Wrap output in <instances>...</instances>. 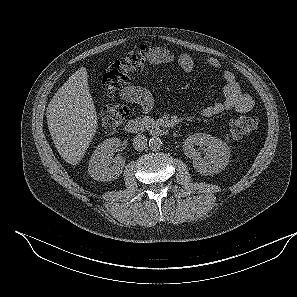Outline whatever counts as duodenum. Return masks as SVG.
<instances>
[{"label":"duodenum","mask_w":297,"mask_h":297,"mask_svg":"<svg viewBox=\"0 0 297 297\" xmlns=\"http://www.w3.org/2000/svg\"><path fill=\"white\" fill-rule=\"evenodd\" d=\"M144 128H145V124L142 120L130 119L125 123L123 130H124V132L129 133V134H137V133H140L141 131H143ZM149 130L152 134L157 135V136H164L168 132L166 128L160 127L158 125H152L149 128Z\"/></svg>","instance_id":"duodenum-1"}]
</instances>
